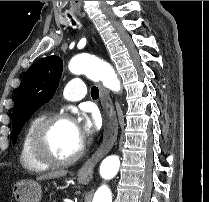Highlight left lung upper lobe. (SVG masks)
Instances as JSON below:
<instances>
[{
	"instance_id": "obj_1",
	"label": "left lung upper lobe",
	"mask_w": 209,
	"mask_h": 202,
	"mask_svg": "<svg viewBox=\"0 0 209 202\" xmlns=\"http://www.w3.org/2000/svg\"><path fill=\"white\" fill-rule=\"evenodd\" d=\"M63 61L48 56L32 64L25 72L15 97L12 114V143L23 125L41 106L50 101L62 75Z\"/></svg>"
}]
</instances>
